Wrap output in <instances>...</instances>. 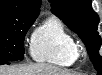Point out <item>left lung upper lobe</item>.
I'll list each match as a JSON object with an SVG mask.
<instances>
[{
  "mask_svg": "<svg viewBox=\"0 0 102 75\" xmlns=\"http://www.w3.org/2000/svg\"><path fill=\"white\" fill-rule=\"evenodd\" d=\"M49 2L52 12L82 39L94 68L98 74H102V57L98 53L101 45V38L97 33L99 17L91 7V0H49Z\"/></svg>",
  "mask_w": 102,
  "mask_h": 75,
  "instance_id": "1",
  "label": "left lung upper lobe"
}]
</instances>
